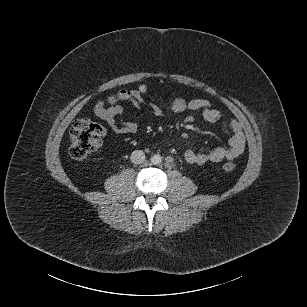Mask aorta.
Instances as JSON below:
<instances>
[{"label": "aorta", "mask_w": 307, "mask_h": 307, "mask_svg": "<svg viewBox=\"0 0 307 307\" xmlns=\"http://www.w3.org/2000/svg\"><path fill=\"white\" fill-rule=\"evenodd\" d=\"M150 161L153 165H158L162 162V156L159 154H155L151 157Z\"/></svg>", "instance_id": "762f6f07"}]
</instances>
